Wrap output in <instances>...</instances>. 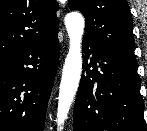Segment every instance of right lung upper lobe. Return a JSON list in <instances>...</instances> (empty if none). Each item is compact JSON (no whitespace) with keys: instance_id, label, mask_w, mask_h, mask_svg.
Listing matches in <instances>:
<instances>
[{"instance_id":"right-lung-upper-lobe-1","label":"right lung upper lobe","mask_w":147,"mask_h":131,"mask_svg":"<svg viewBox=\"0 0 147 131\" xmlns=\"http://www.w3.org/2000/svg\"><path fill=\"white\" fill-rule=\"evenodd\" d=\"M56 0H0V58L58 33Z\"/></svg>"}]
</instances>
